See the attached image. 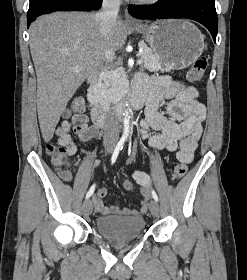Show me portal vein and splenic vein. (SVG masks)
<instances>
[{
    "instance_id": "18ae733b",
    "label": "portal vein and splenic vein",
    "mask_w": 247,
    "mask_h": 280,
    "mask_svg": "<svg viewBox=\"0 0 247 280\" xmlns=\"http://www.w3.org/2000/svg\"><path fill=\"white\" fill-rule=\"evenodd\" d=\"M140 54H141V51H140V53L138 54V56H139ZM137 63H138V64H141V63H142V60H141V59H138V60H137Z\"/></svg>"
}]
</instances>
